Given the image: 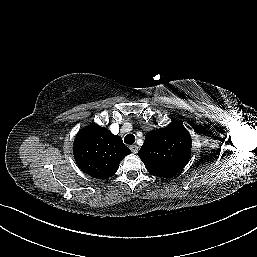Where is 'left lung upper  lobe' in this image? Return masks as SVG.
<instances>
[{"instance_id": "5c2ea615", "label": "left lung upper lobe", "mask_w": 257, "mask_h": 257, "mask_svg": "<svg viewBox=\"0 0 257 257\" xmlns=\"http://www.w3.org/2000/svg\"><path fill=\"white\" fill-rule=\"evenodd\" d=\"M191 136L184 126L170 125L149 132L138 152L150 174L171 178L190 158Z\"/></svg>"}]
</instances>
